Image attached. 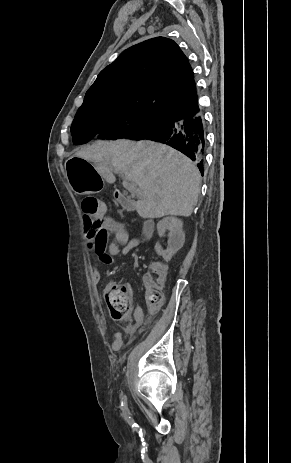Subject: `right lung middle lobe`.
<instances>
[{"label":"right lung middle lobe","instance_id":"right-lung-middle-lobe-1","mask_svg":"<svg viewBox=\"0 0 291 463\" xmlns=\"http://www.w3.org/2000/svg\"><path fill=\"white\" fill-rule=\"evenodd\" d=\"M165 116L149 109L111 104L78 109L71 126L74 144L98 137L135 140L164 123Z\"/></svg>","mask_w":291,"mask_h":463}]
</instances>
